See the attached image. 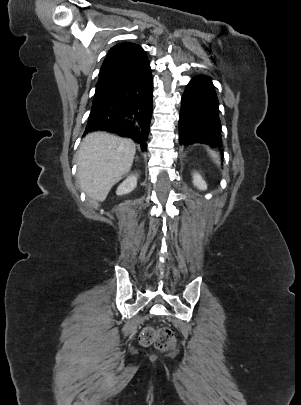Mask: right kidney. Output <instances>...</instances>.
<instances>
[{
	"label": "right kidney",
	"instance_id": "right-kidney-1",
	"mask_svg": "<svg viewBox=\"0 0 301 405\" xmlns=\"http://www.w3.org/2000/svg\"><path fill=\"white\" fill-rule=\"evenodd\" d=\"M137 174H132L128 176L117 188L116 194L117 195H125L132 192L137 186Z\"/></svg>",
	"mask_w": 301,
	"mask_h": 405
}]
</instances>
